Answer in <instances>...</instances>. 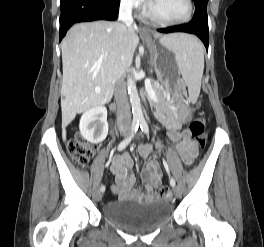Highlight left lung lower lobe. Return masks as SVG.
<instances>
[{
  "instance_id": "left-lung-lower-lobe-1",
  "label": "left lung lower lobe",
  "mask_w": 264,
  "mask_h": 247,
  "mask_svg": "<svg viewBox=\"0 0 264 247\" xmlns=\"http://www.w3.org/2000/svg\"><path fill=\"white\" fill-rule=\"evenodd\" d=\"M162 33L186 32L197 35L208 50V17L207 11H196L190 23L164 29H158Z\"/></svg>"
}]
</instances>
